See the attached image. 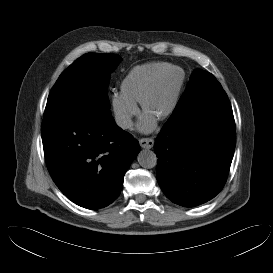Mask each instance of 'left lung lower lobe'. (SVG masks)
<instances>
[{
	"instance_id": "left-lung-lower-lobe-1",
	"label": "left lung lower lobe",
	"mask_w": 273,
	"mask_h": 273,
	"mask_svg": "<svg viewBox=\"0 0 273 273\" xmlns=\"http://www.w3.org/2000/svg\"><path fill=\"white\" fill-rule=\"evenodd\" d=\"M235 144L226 93L196 95L173 112L155 141L157 180L164 194L184 207L214 198L226 183Z\"/></svg>"
}]
</instances>
